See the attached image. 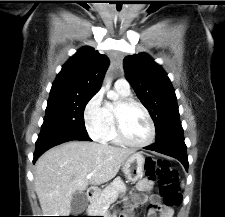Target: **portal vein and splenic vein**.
Returning a JSON list of instances; mask_svg holds the SVG:
<instances>
[{"instance_id": "1", "label": "portal vein and splenic vein", "mask_w": 225, "mask_h": 217, "mask_svg": "<svg viewBox=\"0 0 225 217\" xmlns=\"http://www.w3.org/2000/svg\"><path fill=\"white\" fill-rule=\"evenodd\" d=\"M91 176H92V174H88V175L86 176V178H87V179H90Z\"/></svg>"}]
</instances>
